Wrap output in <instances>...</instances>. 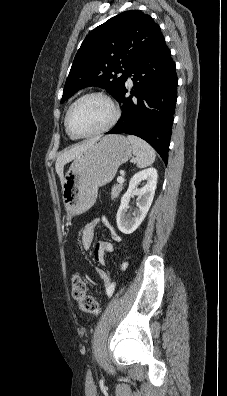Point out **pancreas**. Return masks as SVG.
<instances>
[{"label":"pancreas","mask_w":227,"mask_h":396,"mask_svg":"<svg viewBox=\"0 0 227 396\" xmlns=\"http://www.w3.org/2000/svg\"><path fill=\"white\" fill-rule=\"evenodd\" d=\"M122 189H123V185L122 184L114 185L113 188H112V192H111V199L115 200L119 196V194L122 191Z\"/></svg>","instance_id":"1"}]
</instances>
